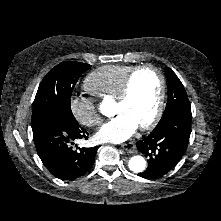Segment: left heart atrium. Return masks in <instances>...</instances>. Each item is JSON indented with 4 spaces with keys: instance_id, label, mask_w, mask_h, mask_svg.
<instances>
[{
    "instance_id": "obj_1",
    "label": "left heart atrium",
    "mask_w": 221,
    "mask_h": 221,
    "mask_svg": "<svg viewBox=\"0 0 221 221\" xmlns=\"http://www.w3.org/2000/svg\"><path fill=\"white\" fill-rule=\"evenodd\" d=\"M138 127V124L127 114L120 113L100 128L96 138L99 141L120 143L130 138Z\"/></svg>"
}]
</instances>
